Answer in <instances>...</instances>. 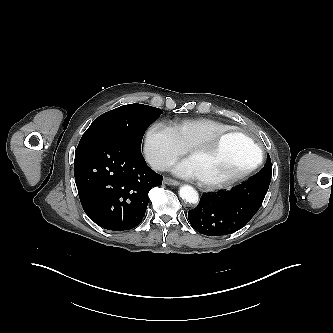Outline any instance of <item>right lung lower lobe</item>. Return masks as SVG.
<instances>
[{
  "label": "right lung lower lobe",
  "mask_w": 333,
  "mask_h": 333,
  "mask_svg": "<svg viewBox=\"0 0 333 333\" xmlns=\"http://www.w3.org/2000/svg\"><path fill=\"white\" fill-rule=\"evenodd\" d=\"M74 176L85 213L113 231L139 225L148 205V192L163 177L150 169L141 149L113 140L80 141Z\"/></svg>",
  "instance_id": "obj_1"
}]
</instances>
